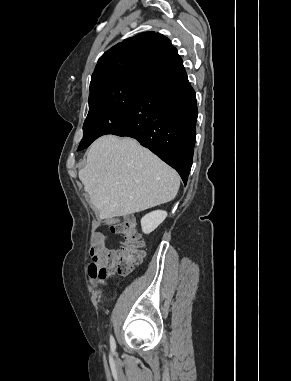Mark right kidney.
Returning <instances> with one entry per match:
<instances>
[{"label":"right kidney","mask_w":291,"mask_h":381,"mask_svg":"<svg viewBox=\"0 0 291 381\" xmlns=\"http://www.w3.org/2000/svg\"><path fill=\"white\" fill-rule=\"evenodd\" d=\"M167 217V212L163 210H156L141 219L142 231L149 234L154 231Z\"/></svg>","instance_id":"1"}]
</instances>
